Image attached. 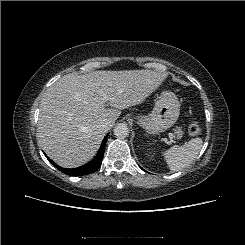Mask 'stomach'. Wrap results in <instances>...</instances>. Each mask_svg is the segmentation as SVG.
<instances>
[{
  "instance_id": "stomach-1",
  "label": "stomach",
  "mask_w": 245,
  "mask_h": 245,
  "mask_svg": "<svg viewBox=\"0 0 245 245\" xmlns=\"http://www.w3.org/2000/svg\"><path fill=\"white\" fill-rule=\"evenodd\" d=\"M180 114L177 96L170 91H163L149 115H139L136 122L150 134H158L176 123Z\"/></svg>"
}]
</instances>
